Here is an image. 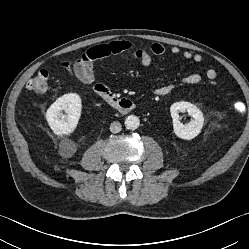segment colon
I'll use <instances>...</instances> for the list:
<instances>
[{"instance_id": "obj_1", "label": "colon", "mask_w": 249, "mask_h": 249, "mask_svg": "<svg viewBox=\"0 0 249 249\" xmlns=\"http://www.w3.org/2000/svg\"><path fill=\"white\" fill-rule=\"evenodd\" d=\"M49 78V73L46 70H41L29 80L27 88L34 93L43 94L48 90ZM233 110L237 114H242L245 111V104L236 100L233 103Z\"/></svg>"}]
</instances>
